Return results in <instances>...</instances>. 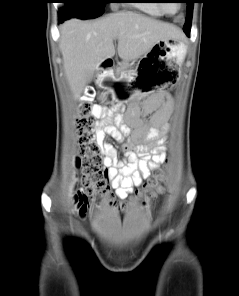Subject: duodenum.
<instances>
[{
	"label": "duodenum",
	"mask_w": 239,
	"mask_h": 296,
	"mask_svg": "<svg viewBox=\"0 0 239 296\" xmlns=\"http://www.w3.org/2000/svg\"><path fill=\"white\" fill-rule=\"evenodd\" d=\"M101 66L103 67V69L105 70V72H110V71L113 70L114 62H113L112 59L107 58V59H105V60L102 62Z\"/></svg>",
	"instance_id": "obj_1"
}]
</instances>
